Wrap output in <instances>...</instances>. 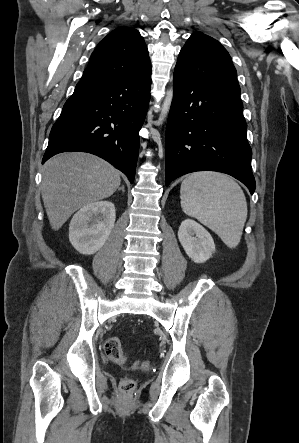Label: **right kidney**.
<instances>
[{
    "instance_id": "right-kidney-1",
    "label": "right kidney",
    "mask_w": 299,
    "mask_h": 443,
    "mask_svg": "<svg viewBox=\"0 0 299 443\" xmlns=\"http://www.w3.org/2000/svg\"><path fill=\"white\" fill-rule=\"evenodd\" d=\"M112 202L99 201L83 206L72 218L69 240L81 254L91 255L102 248L115 223Z\"/></svg>"
}]
</instances>
